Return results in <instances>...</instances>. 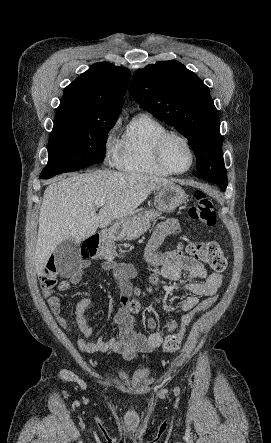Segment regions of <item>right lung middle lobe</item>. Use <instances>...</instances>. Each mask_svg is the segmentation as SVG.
Wrapping results in <instances>:
<instances>
[{
	"mask_svg": "<svg viewBox=\"0 0 271 443\" xmlns=\"http://www.w3.org/2000/svg\"><path fill=\"white\" fill-rule=\"evenodd\" d=\"M117 117H86L70 107H58L50 136L48 163L41 174L100 163L105 156L107 134Z\"/></svg>",
	"mask_w": 271,
	"mask_h": 443,
	"instance_id": "obj_1",
	"label": "right lung middle lobe"
}]
</instances>
